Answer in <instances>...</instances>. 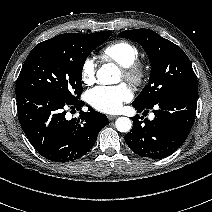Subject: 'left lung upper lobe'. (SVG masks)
<instances>
[{"mask_svg": "<svg viewBox=\"0 0 212 212\" xmlns=\"http://www.w3.org/2000/svg\"><path fill=\"white\" fill-rule=\"evenodd\" d=\"M119 36L141 44L151 62L149 83L132 104L149 106L178 90L198 87L191 62L179 46L149 29L126 30Z\"/></svg>", "mask_w": 212, "mask_h": 212, "instance_id": "1", "label": "left lung upper lobe"}]
</instances>
